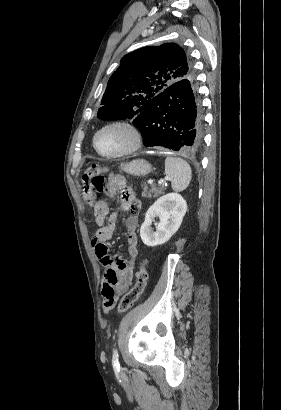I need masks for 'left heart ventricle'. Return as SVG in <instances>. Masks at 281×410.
Returning a JSON list of instances; mask_svg holds the SVG:
<instances>
[{
	"label": "left heart ventricle",
	"mask_w": 281,
	"mask_h": 410,
	"mask_svg": "<svg viewBox=\"0 0 281 410\" xmlns=\"http://www.w3.org/2000/svg\"><path fill=\"white\" fill-rule=\"evenodd\" d=\"M130 145V136L127 131L112 128L102 131L97 137L99 150L106 154L119 153Z\"/></svg>",
	"instance_id": "1"
}]
</instances>
